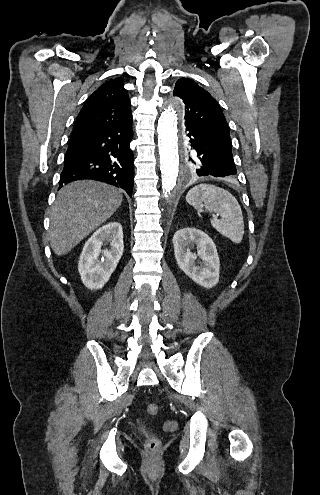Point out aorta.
<instances>
[{"instance_id":"762f6f07","label":"aorta","mask_w":320,"mask_h":495,"mask_svg":"<svg viewBox=\"0 0 320 495\" xmlns=\"http://www.w3.org/2000/svg\"><path fill=\"white\" fill-rule=\"evenodd\" d=\"M183 108V102L179 98L172 99L163 109L158 121V147L160 156V169L162 177V189L167 195L176 184L179 171V149L177 114ZM190 176L186 177L188 181ZM165 202L159 200L154 212L159 217L165 212Z\"/></svg>"}]
</instances>
